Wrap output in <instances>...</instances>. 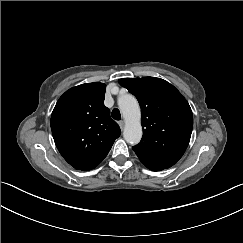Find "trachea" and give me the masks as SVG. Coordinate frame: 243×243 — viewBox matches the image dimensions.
<instances>
[{
	"mask_svg": "<svg viewBox=\"0 0 243 243\" xmlns=\"http://www.w3.org/2000/svg\"><path fill=\"white\" fill-rule=\"evenodd\" d=\"M111 116H112V118L115 119V120H120V119H121V113H120L119 109L114 108V109L112 110Z\"/></svg>",
	"mask_w": 243,
	"mask_h": 243,
	"instance_id": "3493384b",
	"label": "trachea"
}]
</instances>
